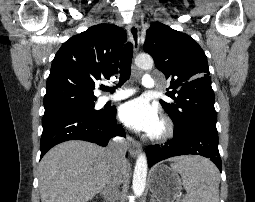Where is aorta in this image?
I'll return each instance as SVG.
<instances>
[{"label": "aorta", "instance_id": "1", "mask_svg": "<svg viewBox=\"0 0 255 202\" xmlns=\"http://www.w3.org/2000/svg\"><path fill=\"white\" fill-rule=\"evenodd\" d=\"M153 64L154 62L150 55L140 54L135 58V65L141 69L151 70ZM147 168L148 163L146 154L140 153L136 160L132 181V189L137 197L141 196L145 190Z\"/></svg>", "mask_w": 255, "mask_h": 202}]
</instances>
